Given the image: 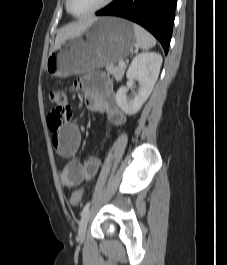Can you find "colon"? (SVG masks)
<instances>
[{
  "mask_svg": "<svg viewBox=\"0 0 227 265\" xmlns=\"http://www.w3.org/2000/svg\"><path fill=\"white\" fill-rule=\"evenodd\" d=\"M49 100L55 105L54 109L48 115V126L52 132H57L66 124L71 117V107L68 97L63 91H51ZM83 190L79 189L72 193L70 202L73 206H79L82 201Z\"/></svg>",
  "mask_w": 227,
  "mask_h": 265,
  "instance_id": "5ec220e1",
  "label": "colon"
}]
</instances>
